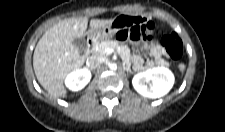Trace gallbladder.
I'll return each mask as SVG.
<instances>
[{"instance_id":"obj_1","label":"gallbladder","mask_w":225,"mask_h":132,"mask_svg":"<svg viewBox=\"0 0 225 132\" xmlns=\"http://www.w3.org/2000/svg\"><path fill=\"white\" fill-rule=\"evenodd\" d=\"M73 45L80 53H84L87 47L86 41L83 38H75L73 40Z\"/></svg>"}]
</instances>
